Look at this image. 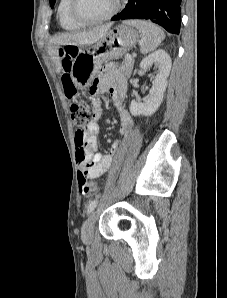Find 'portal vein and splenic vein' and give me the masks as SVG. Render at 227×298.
Segmentation results:
<instances>
[{"instance_id":"obj_1","label":"portal vein and splenic vein","mask_w":227,"mask_h":298,"mask_svg":"<svg viewBox=\"0 0 227 298\" xmlns=\"http://www.w3.org/2000/svg\"><path fill=\"white\" fill-rule=\"evenodd\" d=\"M125 58H126L127 60H131V59H132V56L129 55V54H127V55L125 56Z\"/></svg>"}]
</instances>
